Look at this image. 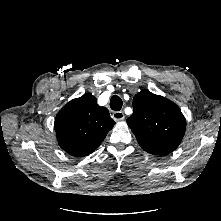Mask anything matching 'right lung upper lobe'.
Wrapping results in <instances>:
<instances>
[{
  "label": "right lung upper lobe",
  "instance_id": "1",
  "mask_svg": "<svg viewBox=\"0 0 221 221\" xmlns=\"http://www.w3.org/2000/svg\"><path fill=\"white\" fill-rule=\"evenodd\" d=\"M114 124L108 109L86 93L58 112L54 126L59 146L70 155L83 157L99 147Z\"/></svg>",
  "mask_w": 221,
  "mask_h": 221
}]
</instances>
